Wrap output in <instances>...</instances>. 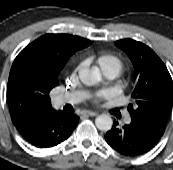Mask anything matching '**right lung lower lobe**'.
I'll return each instance as SVG.
<instances>
[{
    "instance_id": "obj_1",
    "label": "right lung lower lobe",
    "mask_w": 173,
    "mask_h": 170,
    "mask_svg": "<svg viewBox=\"0 0 173 170\" xmlns=\"http://www.w3.org/2000/svg\"><path fill=\"white\" fill-rule=\"evenodd\" d=\"M78 120L76 115L52 110L27 116L13 124L28 143L38 148H49L66 140Z\"/></svg>"
}]
</instances>
